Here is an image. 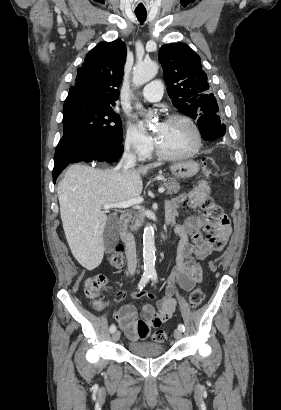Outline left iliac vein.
<instances>
[{
  "instance_id": "1",
  "label": "left iliac vein",
  "mask_w": 281,
  "mask_h": 410,
  "mask_svg": "<svg viewBox=\"0 0 281 410\" xmlns=\"http://www.w3.org/2000/svg\"><path fill=\"white\" fill-rule=\"evenodd\" d=\"M174 337L176 340H180L182 338V331L179 329L174 330Z\"/></svg>"
}]
</instances>
